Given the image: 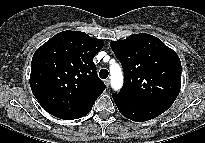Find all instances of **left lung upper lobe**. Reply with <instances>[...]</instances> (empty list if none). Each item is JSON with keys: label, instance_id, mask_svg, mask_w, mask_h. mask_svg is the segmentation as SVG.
Instances as JSON below:
<instances>
[{"label": "left lung upper lobe", "instance_id": "1", "mask_svg": "<svg viewBox=\"0 0 205 143\" xmlns=\"http://www.w3.org/2000/svg\"><path fill=\"white\" fill-rule=\"evenodd\" d=\"M110 46L124 71V85L112 97L132 105L173 103L181 87L178 55L150 34H133Z\"/></svg>", "mask_w": 205, "mask_h": 143}]
</instances>
